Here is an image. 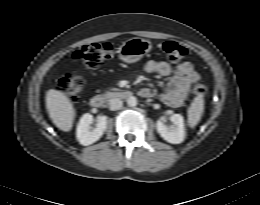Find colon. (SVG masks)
I'll return each instance as SVG.
<instances>
[{
  "instance_id": "5ec220e1",
  "label": "colon",
  "mask_w": 260,
  "mask_h": 205,
  "mask_svg": "<svg viewBox=\"0 0 260 205\" xmlns=\"http://www.w3.org/2000/svg\"><path fill=\"white\" fill-rule=\"evenodd\" d=\"M163 51L173 63L182 61L187 55V49L174 41H166L163 44ZM112 56L113 48L110 43L95 42L76 49L72 58L75 62H81L88 68L95 69L110 60ZM72 67V64L67 65L68 70L72 69ZM83 85L82 76L70 71H67L57 82L58 88L74 100L80 96ZM191 90L194 95L199 97H205L208 93V87L203 81L193 83Z\"/></svg>"
}]
</instances>
